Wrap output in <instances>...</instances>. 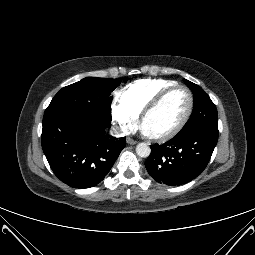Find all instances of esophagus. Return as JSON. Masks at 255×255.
Returning <instances> with one entry per match:
<instances>
[{"instance_id": "obj_1", "label": "esophagus", "mask_w": 255, "mask_h": 255, "mask_svg": "<svg viewBox=\"0 0 255 255\" xmlns=\"http://www.w3.org/2000/svg\"><path fill=\"white\" fill-rule=\"evenodd\" d=\"M126 141H127V143L130 144V145H134V144L137 143V141H136V140H133L132 138H127Z\"/></svg>"}]
</instances>
